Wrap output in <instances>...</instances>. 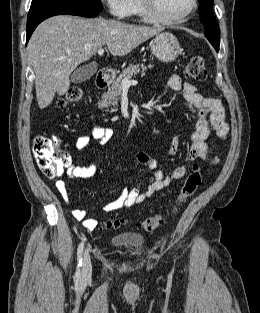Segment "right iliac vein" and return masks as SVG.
<instances>
[{
	"mask_svg": "<svg viewBox=\"0 0 260 313\" xmlns=\"http://www.w3.org/2000/svg\"><path fill=\"white\" fill-rule=\"evenodd\" d=\"M91 272H92V265H91L89 250H85L83 263H82V269H81L82 279H88L91 276Z\"/></svg>",
	"mask_w": 260,
	"mask_h": 313,
	"instance_id": "right-iliac-vein-1",
	"label": "right iliac vein"
}]
</instances>
